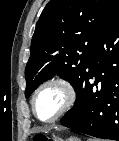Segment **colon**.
Returning a JSON list of instances; mask_svg holds the SVG:
<instances>
[{"instance_id": "5ec220e1", "label": "colon", "mask_w": 119, "mask_h": 141, "mask_svg": "<svg viewBox=\"0 0 119 141\" xmlns=\"http://www.w3.org/2000/svg\"><path fill=\"white\" fill-rule=\"evenodd\" d=\"M34 141H53V140L44 135H36L34 137Z\"/></svg>"}]
</instances>
